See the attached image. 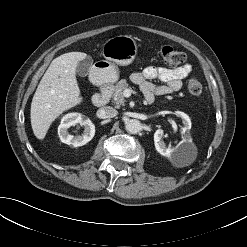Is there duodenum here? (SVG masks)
<instances>
[{
	"instance_id": "410a0bca",
	"label": "duodenum",
	"mask_w": 247,
	"mask_h": 247,
	"mask_svg": "<svg viewBox=\"0 0 247 247\" xmlns=\"http://www.w3.org/2000/svg\"><path fill=\"white\" fill-rule=\"evenodd\" d=\"M112 94L111 86L107 85L101 88V90L92 96V103L95 106H104L108 103ZM147 103H152V101H147Z\"/></svg>"
}]
</instances>
